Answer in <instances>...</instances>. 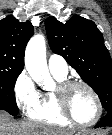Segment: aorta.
<instances>
[{"instance_id":"1","label":"aorta","mask_w":112,"mask_h":135,"mask_svg":"<svg viewBox=\"0 0 112 135\" xmlns=\"http://www.w3.org/2000/svg\"><path fill=\"white\" fill-rule=\"evenodd\" d=\"M25 67L31 78L41 87L53 84L46 61V43L41 34L33 36L25 51Z\"/></svg>"}]
</instances>
